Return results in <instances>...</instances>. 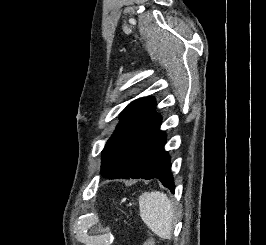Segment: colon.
<instances>
[{"mask_svg":"<svg viewBox=\"0 0 266 245\" xmlns=\"http://www.w3.org/2000/svg\"><path fill=\"white\" fill-rule=\"evenodd\" d=\"M155 243H154V240L152 239V238H147L145 241H144V243H143V245H154Z\"/></svg>","mask_w":266,"mask_h":245,"instance_id":"1","label":"colon"}]
</instances>
